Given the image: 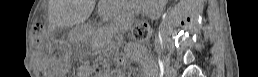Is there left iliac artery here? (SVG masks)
Returning a JSON list of instances; mask_svg holds the SVG:
<instances>
[{
    "label": "left iliac artery",
    "mask_w": 258,
    "mask_h": 77,
    "mask_svg": "<svg viewBox=\"0 0 258 77\" xmlns=\"http://www.w3.org/2000/svg\"><path fill=\"white\" fill-rule=\"evenodd\" d=\"M157 52H158L159 58H160V56H161V51H160V50H157Z\"/></svg>",
    "instance_id": "1"
}]
</instances>
